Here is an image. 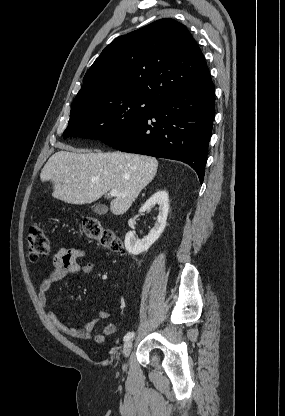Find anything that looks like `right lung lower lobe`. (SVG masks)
Returning <instances> with one entry per match:
<instances>
[{"mask_svg":"<svg viewBox=\"0 0 285 416\" xmlns=\"http://www.w3.org/2000/svg\"><path fill=\"white\" fill-rule=\"evenodd\" d=\"M215 87L206 85L173 96L129 128L102 142L120 151L182 161L203 182L215 115Z\"/></svg>","mask_w":285,"mask_h":416,"instance_id":"98d812e1","label":"right lung lower lobe"}]
</instances>
